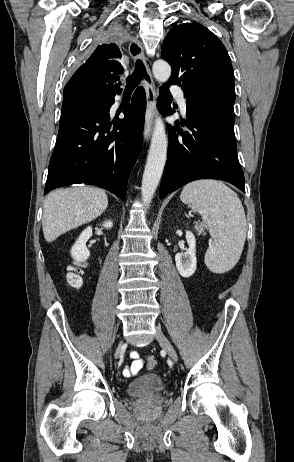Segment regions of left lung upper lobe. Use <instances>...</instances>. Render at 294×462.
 I'll use <instances>...</instances> for the list:
<instances>
[{"label": "left lung upper lobe", "instance_id": "5c2ea615", "mask_svg": "<svg viewBox=\"0 0 294 462\" xmlns=\"http://www.w3.org/2000/svg\"><path fill=\"white\" fill-rule=\"evenodd\" d=\"M162 58L172 66L169 83L184 95L215 91L235 98L234 72L223 43L197 23L175 25L163 41Z\"/></svg>", "mask_w": 294, "mask_h": 462}]
</instances>
